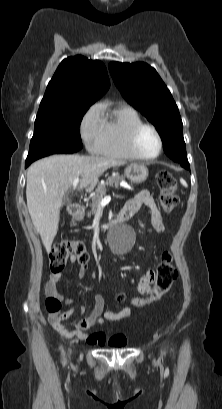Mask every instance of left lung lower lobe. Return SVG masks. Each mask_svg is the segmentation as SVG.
Segmentation results:
<instances>
[{"instance_id":"1","label":"left lung lower lobe","mask_w":222,"mask_h":409,"mask_svg":"<svg viewBox=\"0 0 222 409\" xmlns=\"http://www.w3.org/2000/svg\"><path fill=\"white\" fill-rule=\"evenodd\" d=\"M184 168H186V169L190 170L189 163H185V164H184Z\"/></svg>"}]
</instances>
